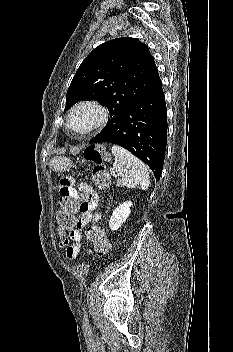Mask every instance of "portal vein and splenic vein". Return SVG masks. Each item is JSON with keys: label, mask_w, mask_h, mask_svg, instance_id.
Returning <instances> with one entry per match:
<instances>
[{"label": "portal vein and splenic vein", "mask_w": 233, "mask_h": 352, "mask_svg": "<svg viewBox=\"0 0 233 352\" xmlns=\"http://www.w3.org/2000/svg\"><path fill=\"white\" fill-rule=\"evenodd\" d=\"M120 174H116L115 172L113 173L114 177H118Z\"/></svg>", "instance_id": "1"}]
</instances>
